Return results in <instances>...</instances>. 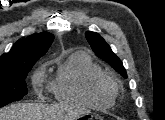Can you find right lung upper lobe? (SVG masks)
Returning a JSON list of instances; mask_svg holds the SVG:
<instances>
[{"label":"right lung upper lobe","instance_id":"right-lung-upper-lobe-1","mask_svg":"<svg viewBox=\"0 0 165 120\" xmlns=\"http://www.w3.org/2000/svg\"><path fill=\"white\" fill-rule=\"evenodd\" d=\"M53 40L54 36L48 32L33 34L18 40L8 53L0 56V63H16L39 59L47 52Z\"/></svg>","mask_w":165,"mask_h":120}]
</instances>
